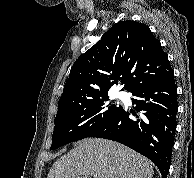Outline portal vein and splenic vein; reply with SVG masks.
I'll use <instances>...</instances> for the list:
<instances>
[{
  "label": "portal vein and splenic vein",
  "mask_w": 194,
  "mask_h": 178,
  "mask_svg": "<svg viewBox=\"0 0 194 178\" xmlns=\"http://www.w3.org/2000/svg\"><path fill=\"white\" fill-rule=\"evenodd\" d=\"M77 178H79V177H77ZM82 178H90L89 176H84V177H82Z\"/></svg>",
  "instance_id": "portal-vein-and-splenic-vein-1"
}]
</instances>
